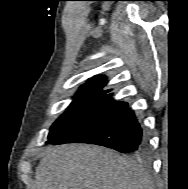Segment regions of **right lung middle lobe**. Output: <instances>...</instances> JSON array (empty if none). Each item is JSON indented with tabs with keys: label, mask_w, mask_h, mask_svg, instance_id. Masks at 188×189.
<instances>
[{
	"label": "right lung middle lobe",
	"mask_w": 188,
	"mask_h": 189,
	"mask_svg": "<svg viewBox=\"0 0 188 189\" xmlns=\"http://www.w3.org/2000/svg\"><path fill=\"white\" fill-rule=\"evenodd\" d=\"M106 96L104 92L77 93L64 114L50 128L47 144H50L71 127L87 110Z\"/></svg>",
	"instance_id": "right-lung-middle-lobe-1"
}]
</instances>
